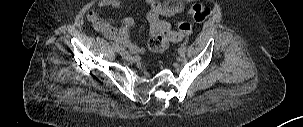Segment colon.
I'll use <instances>...</instances> for the list:
<instances>
[{"instance_id":"colon-1","label":"colon","mask_w":303,"mask_h":127,"mask_svg":"<svg viewBox=\"0 0 303 127\" xmlns=\"http://www.w3.org/2000/svg\"><path fill=\"white\" fill-rule=\"evenodd\" d=\"M189 16L196 22L205 21L209 15L210 10L201 4H194L189 8ZM191 32V24L187 21H181L178 24V32H162L152 37L149 42V48L156 52H164L170 45L171 42L182 40Z\"/></svg>"}]
</instances>
